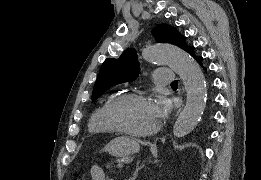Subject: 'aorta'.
Masks as SVG:
<instances>
[{"label":"aorta","instance_id":"762f6f07","mask_svg":"<svg viewBox=\"0 0 261 180\" xmlns=\"http://www.w3.org/2000/svg\"><path fill=\"white\" fill-rule=\"evenodd\" d=\"M142 57L148 62L168 64L183 80L187 100L173 134L184 137L197 126L206 107L207 88L202 70L187 52L173 45L149 46L142 51Z\"/></svg>","mask_w":261,"mask_h":180}]
</instances>
